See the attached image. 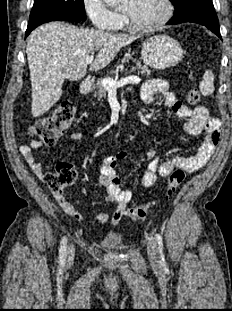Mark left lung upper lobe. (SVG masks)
Returning a JSON list of instances; mask_svg holds the SVG:
<instances>
[{"label": "left lung upper lobe", "instance_id": "obj_1", "mask_svg": "<svg viewBox=\"0 0 232 311\" xmlns=\"http://www.w3.org/2000/svg\"><path fill=\"white\" fill-rule=\"evenodd\" d=\"M170 1L173 3L175 10H177L181 6L185 5L188 0H170Z\"/></svg>", "mask_w": 232, "mask_h": 311}]
</instances>
